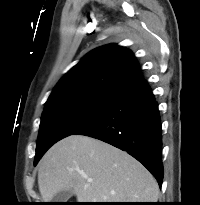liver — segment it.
Listing matches in <instances>:
<instances>
[{"label": "liver", "mask_w": 200, "mask_h": 205, "mask_svg": "<svg viewBox=\"0 0 200 205\" xmlns=\"http://www.w3.org/2000/svg\"><path fill=\"white\" fill-rule=\"evenodd\" d=\"M38 186L44 202L62 190L73 191L78 202H156L159 196L155 178L137 160L82 135L68 136L46 152Z\"/></svg>", "instance_id": "1"}]
</instances>
